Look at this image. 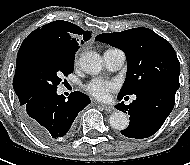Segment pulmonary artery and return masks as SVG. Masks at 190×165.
<instances>
[{
  "label": "pulmonary artery",
  "instance_id": "e3ab8cb5",
  "mask_svg": "<svg viewBox=\"0 0 190 165\" xmlns=\"http://www.w3.org/2000/svg\"><path fill=\"white\" fill-rule=\"evenodd\" d=\"M106 67L111 71L119 70L125 63V53L120 49H107L103 54ZM135 99V97L133 98Z\"/></svg>",
  "mask_w": 190,
  "mask_h": 165
}]
</instances>
